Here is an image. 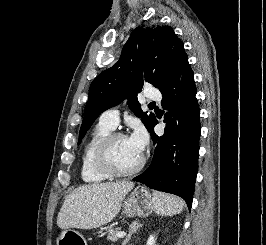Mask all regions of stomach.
Returning <instances> with one entry per match:
<instances>
[{"label": "stomach", "instance_id": "obj_1", "mask_svg": "<svg viewBox=\"0 0 266 245\" xmlns=\"http://www.w3.org/2000/svg\"><path fill=\"white\" fill-rule=\"evenodd\" d=\"M121 207L126 217H148L153 211V197L146 187H136L133 193L122 201ZM57 243L58 245H87L85 237L74 229L62 231Z\"/></svg>", "mask_w": 266, "mask_h": 245}]
</instances>
